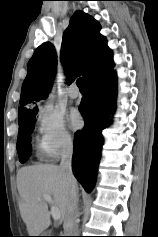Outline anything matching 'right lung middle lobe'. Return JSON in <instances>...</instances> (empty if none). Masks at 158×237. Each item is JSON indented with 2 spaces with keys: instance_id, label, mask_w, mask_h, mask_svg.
<instances>
[{
  "instance_id": "1",
  "label": "right lung middle lobe",
  "mask_w": 158,
  "mask_h": 237,
  "mask_svg": "<svg viewBox=\"0 0 158 237\" xmlns=\"http://www.w3.org/2000/svg\"><path fill=\"white\" fill-rule=\"evenodd\" d=\"M36 115L27 116L19 119V133L17 139V150L21 163L28 160L31 155V146L28 142L31 139V132L33 131V122Z\"/></svg>"
}]
</instances>
